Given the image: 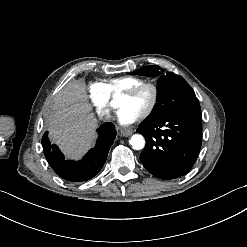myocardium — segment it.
Returning <instances> with one entry per match:
<instances>
[{"instance_id":"f54148a6","label":"myocardium","mask_w":247,"mask_h":247,"mask_svg":"<svg viewBox=\"0 0 247 247\" xmlns=\"http://www.w3.org/2000/svg\"><path fill=\"white\" fill-rule=\"evenodd\" d=\"M144 90H147L150 94L148 108L146 109V111L142 113V116L144 118H147L152 115L157 105L158 98H159L158 88L154 84H151V83H142L138 87L127 92V94L133 98H136Z\"/></svg>"}]
</instances>
